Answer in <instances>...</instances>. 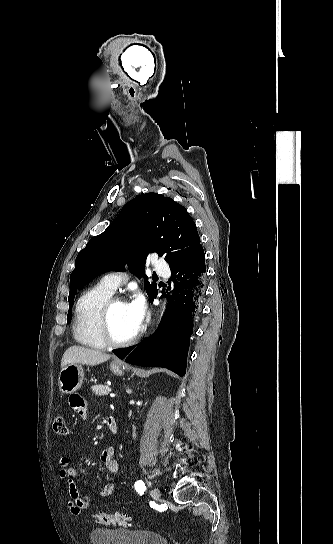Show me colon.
<instances>
[{"mask_svg":"<svg viewBox=\"0 0 333 544\" xmlns=\"http://www.w3.org/2000/svg\"><path fill=\"white\" fill-rule=\"evenodd\" d=\"M53 430L57 435H68L69 430L65 419L58 416L53 421ZM94 519L102 525H128L130 523L129 515L121 512L105 513L98 512L94 514Z\"/></svg>","mask_w":333,"mask_h":544,"instance_id":"colon-1","label":"colon"}]
</instances>
